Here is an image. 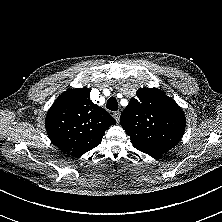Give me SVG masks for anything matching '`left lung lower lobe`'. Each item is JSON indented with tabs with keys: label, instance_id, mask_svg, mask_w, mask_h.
Returning <instances> with one entry per match:
<instances>
[{
	"label": "left lung lower lobe",
	"instance_id": "0a47b994",
	"mask_svg": "<svg viewBox=\"0 0 222 222\" xmlns=\"http://www.w3.org/2000/svg\"><path fill=\"white\" fill-rule=\"evenodd\" d=\"M144 153H147L153 157L160 156L161 154L165 153L166 151H161V150H154V151H142Z\"/></svg>",
	"mask_w": 222,
	"mask_h": 222
}]
</instances>
